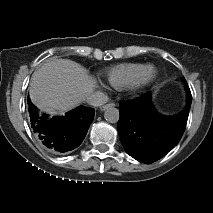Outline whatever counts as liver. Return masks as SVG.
Here are the masks:
<instances>
[{"instance_id":"1","label":"liver","mask_w":213,"mask_h":213,"mask_svg":"<svg viewBox=\"0 0 213 213\" xmlns=\"http://www.w3.org/2000/svg\"><path fill=\"white\" fill-rule=\"evenodd\" d=\"M95 82L78 63L54 59L32 75L29 95L40 111L64 114L92 94Z\"/></svg>"}]
</instances>
